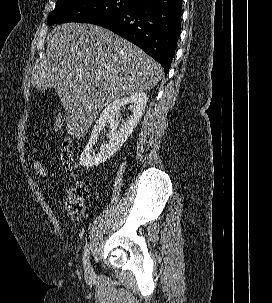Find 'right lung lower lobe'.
Here are the masks:
<instances>
[{
  "label": "right lung lower lobe",
  "mask_w": 272,
  "mask_h": 303,
  "mask_svg": "<svg viewBox=\"0 0 272 303\" xmlns=\"http://www.w3.org/2000/svg\"><path fill=\"white\" fill-rule=\"evenodd\" d=\"M182 0H138L129 9L98 19L157 60L168 73L181 33Z\"/></svg>",
  "instance_id": "1"
}]
</instances>
